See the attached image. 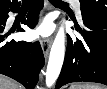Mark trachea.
I'll use <instances>...</instances> for the list:
<instances>
[{
    "label": "trachea",
    "mask_w": 107,
    "mask_h": 89,
    "mask_svg": "<svg viewBox=\"0 0 107 89\" xmlns=\"http://www.w3.org/2000/svg\"><path fill=\"white\" fill-rule=\"evenodd\" d=\"M50 3L53 5H62L67 6L68 4L66 2H63L62 0H49ZM29 2L27 0H23V5L28 4Z\"/></svg>",
    "instance_id": "trachea-1"
}]
</instances>
